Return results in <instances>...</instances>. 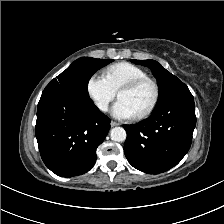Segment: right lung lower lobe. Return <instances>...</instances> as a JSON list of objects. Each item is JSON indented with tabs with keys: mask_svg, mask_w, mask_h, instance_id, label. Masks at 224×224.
<instances>
[{
	"mask_svg": "<svg viewBox=\"0 0 224 224\" xmlns=\"http://www.w3.org/2000/svg\"><path fill=\"white\" fill-rule=\"evenodd\" d=\"M110 119L89 97L45 88L37 109L35 133L45 165L56 175L72 177L90 170Z\"/></svg>",
	"mask_w": 224,
	"mask_h": 224,
	"instance_id": "obj_1",
	"label": "right lung lower lobe"
}]
</instances>
